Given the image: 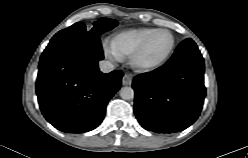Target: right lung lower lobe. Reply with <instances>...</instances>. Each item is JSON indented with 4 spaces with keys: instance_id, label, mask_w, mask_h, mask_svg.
<instances>
[{
    "instance_id": "obj_1",
    "label": "right lung lower lobe",
    "mask_w": 248,
    "mask_h": 158,
    "mask_svg": "<svg viewBox=\"0 0 248 158\" xmlns=\"http://www.w3.org/2000/svg\"><path fill=\"white\" fill-rule=\"evenodd\" d=\"M102 59L99 35L88 32L56 34L42 53L36 93L42 114L58 130L82 133L102 122L123 76L100 72Z\"/></svg>"
}]
</instances>
